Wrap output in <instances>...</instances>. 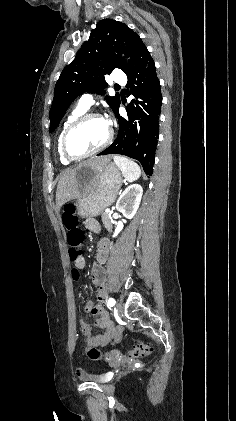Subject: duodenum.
Segmentation results:
<instances>
[{
	"instance_id": "1",
	"label": "duodenum",
	"mask_w": 236,
	"mask_h": 421,
	"mask_svg": "<svg viewBox=\"0 0 236 421\" xmlns=\"http://www.w3.org/2000/svg\"><path fill=\"white\" fill-rule=\"evenodd\" d=\"M109 252L108 241L106 239L102 240L99 244V258L100 262H104L107 259ZM92 277L95 283L98 285V298L104 300L106 296V271L101 264H96L92 270ZM92 313H97L99 315V325L105 329V332L99 336L92 338L95 341L103 342L106 339V328L107 323L104 318L99 314V310L93 308ZM82 330L85 335H89L90 330L86 324L82 325Z\"/></svg>"
}]
</instances>
